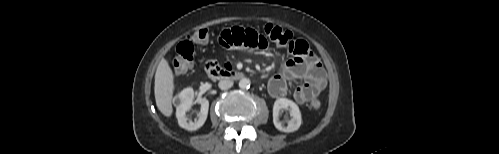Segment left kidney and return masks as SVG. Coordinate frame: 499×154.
Listing matches in <instances>:
<instances>
[{
	"instance_id": "1",
	"label": "left kidney",
	"mask_w": 499,
	"mask_h": 154,
	"mask_svg": "<svg viewBox=\"0 0 499 154\" xmlns=\"http://www.w3.org/2000/svg\"><path fill=\"white\" fill-rule=\"evenodd\" d=\"M284 111H289L291 119L281 121L280 115ZM273 123L274 126L282 132L290 133L299 129L302 123L301 112L298 105L287 98H280L273 105Z\"/></svg>"
}]
</instances>
